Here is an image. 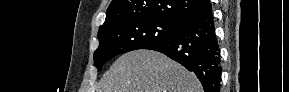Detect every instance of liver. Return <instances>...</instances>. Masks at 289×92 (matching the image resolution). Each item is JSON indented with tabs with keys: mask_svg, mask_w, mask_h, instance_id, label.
Masks as SVG:
<instances>
[{
	"mask_svg": "<svg viewBox=\"0 0 289 92\" xmlns=\"http://www.w3.org/2000/svg\"><path fill=\"white\" fill-rule=\"evenodd\" d=\"M99 92H203L196 75L162 53L121 55L104 74Z\"/></svg>",
	"mask_w": 289,
	"mask_h": 92,
	"instance_id": "liver-1",
	"label": "liver"
}]
</instances>
